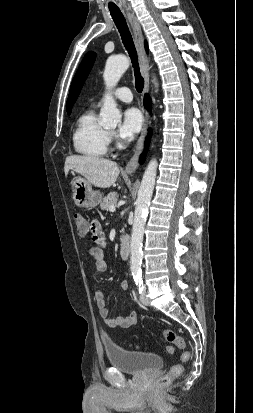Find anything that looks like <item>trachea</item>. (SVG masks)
I'll use <instances>...</instances> for the list:
<instances>
[{"label":"trachea","instance_id":"3493384b","mask_svg":"<svg viewBox=\"0 0 253 413\" xmlns=\"http://www.w3.org/2000/svg\"><path fill=\"white\" fill-rule=\"evenodd\" d=\"M110 14L121 35L122 42L131 58L134 67L136 90L141 93L144 87V79L140 74L137 52L126 20L120 10H110Z\"/></svg>","mask_w":253,"mask_h":413}]
</instances>
